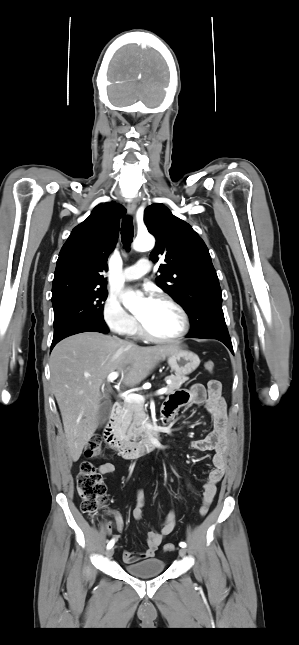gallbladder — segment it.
<instances>
[{
  "label": "gallbladder",
  "instance_id": "obj_1",
  "mask_svg": "<svg viewBox=\"0 0 299 645\" xmlns=\"http://www.w3.org/2000/svg\"><path fill=\"white\" fill-rule=\"evenodd\" d=\"M111 408H112V404L109 401H106V402L101 404L100 409H99V413H98V424L100 426L103 425L107 421V419L109 417V414H110V411H111Z\"/></svg>",
  "mask_w": 299,
  "mask_h": 645
}]
</instances>
